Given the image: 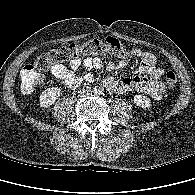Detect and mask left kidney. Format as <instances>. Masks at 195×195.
<instances>
[{"instance_id": "obj_1", "label": "left kidney", "mask_w": 195, "mask_h": 195, "mask_svg": "<svg viewBox=\"0 0 195 195\" xmlns=\"http://www.w3.org/2000/svg\"><path fill=\"white\" fill-rule=\"evenodd\" d=\"M134 103L142 108H149L151 106L150 99L147 96L136 95L134 96Z\"/></svg>"}]
</instances>
